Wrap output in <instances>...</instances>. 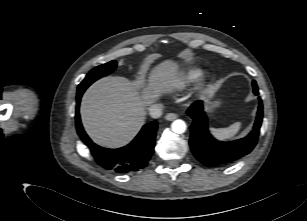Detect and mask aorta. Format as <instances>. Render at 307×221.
Returning a JSON list of instances; mask_svg holds the SVG:
<instances>
[{
    "label": "aorta",
    "instance_id": "aorta-1",
    "mask_svg": "<svg viewBox=\"0 0 307 221\" xmlns=\"http://www.w3.org/2000/svg\"><path fill=\"white\" fill-rule=\"evenodd\" d=\"M171 129L174 133L182 134L186 131V123L181 119L174 120Z\"/></svg>",
    "mask_w": 307,
    "mask_h": 221
}]
</instances>
